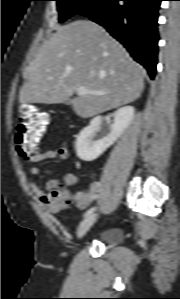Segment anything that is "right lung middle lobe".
Wrapping results in <instances>:
<instances>
[{"mask_svg": "<svg viewBox=\"0 0 180 299\" xmlns=\"http://www.w3.org/2000/svg\"><path fill=\"white\" fill-rule=\"evenodd\" d=\"M59 11V22H64L75 14H83L104 0H56Z\"/></svg>", "mask_w": 180, "mask_h": 299, "instance_id": "obj_1", "label": "right lung middle lobe"}]
</instances>
